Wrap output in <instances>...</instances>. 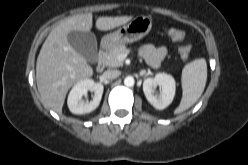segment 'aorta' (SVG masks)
<instances>
[{
	"label": "aorta",
	"instance_id": "aorta-1",
	"mask_svg": "<svg viewBox=\"0 0 248 165\" xmlns=\"http://www.w3.org/2000/svg\"><path fill=\"white\" fill-rule=\"evenodd\" d=\"M135 83V80L132 76H127L125 79H124V84L125 86L127 87H132Z\"/></svg>",
	"mask_w": 248,
	"mask_h": 165
}]
</instances>
